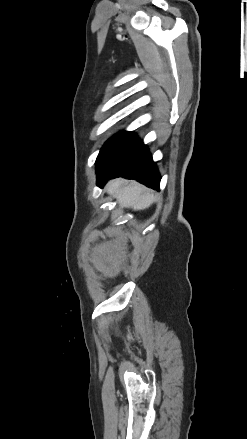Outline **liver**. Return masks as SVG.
<instances>
[{"label":"liver","instance_id":"obj_1","mask_svg":"<svg viewBox=\"0 0 247 439\" xmlns=\"http://www.w3.org/2000/svg\"><path fill=\"white\" fill-rule=\"evenodd\" d=\"M107 193L113 195L121 207L131 208L134 211L148 208L154 201L155 195L138 183H127L123 179H116L108 183Z\"/></svg>","mask_w":247,"mask_h":439}]
</instances>
